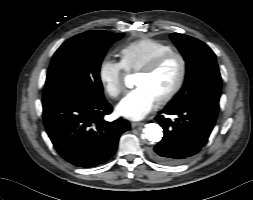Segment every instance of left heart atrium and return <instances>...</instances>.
<instances>
[{
    "label": "left heart atrium",
    "instance_id": "39dd6f15",
    "mask_svg": "<svg viewBox=\"0 0 253 200\" xmlns=\"http://www.w3.org/2000/svg\"><path fill=\"white\" fill-rule=\"evenodd\" d=\"M157 104V99L146 88L138 87L128 93L117 105V113L131 120L143 119Z\"/></svg>",
    "mask_w": 253,
    "mask_h": 200
}]
</instances>
